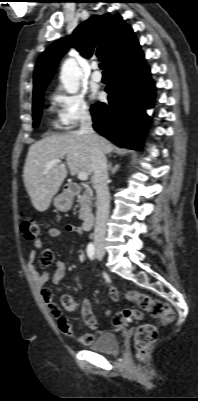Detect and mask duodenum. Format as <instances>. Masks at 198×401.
<instances>
[{
  "label": "duodenum",
  "mask_w": 198,
  "mask_h": 401,
  "mask_svg": "<svg viewBox=\"0 0 198 401\" xmlns=\"http://www.w3.org/2000/svg\"><path fill=\"white\" fill-rule=\"evenodd\" d=\"M66 190L70 197H74L82 191V188L77 184H70ZM94 221H95L94 214L92 213L87 214L83 219L82 229L84 231H88L94 224Z\"/></svg>",
  "instance_id": "obj_1"
}]
</instances>
